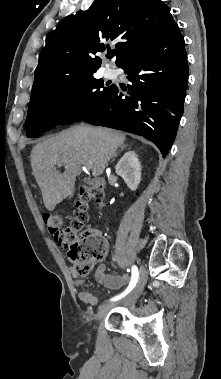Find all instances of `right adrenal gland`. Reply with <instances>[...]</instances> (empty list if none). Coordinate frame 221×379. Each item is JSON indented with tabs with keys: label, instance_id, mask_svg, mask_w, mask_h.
<instances>
[{
	"label": "right adrenal gland",
	"instance_id": "1",
	"mask_svg": "<svg viewBox=\"0 0 221 379\" xmlns=\"http://www.w3.org/2000/svg\"><path fill=\"white\" fill-rule=\"evenodd\" d=\"M126 146H127V145H123V146L120 147L119 151H117V152L113 155L112 161L115 160V158L117 157L118 153H119L120 151H123V150L126 148Z\"/></svg>",
	"mask_w": 221,
	"mask_h": 379
}]
</instances>
